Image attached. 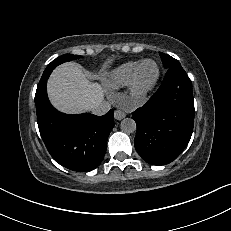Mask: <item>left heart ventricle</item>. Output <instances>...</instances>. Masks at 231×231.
<instances>
[{
  "label": "left heart ventricle",
  "instance_id": "obj_1",
  "mask_svg": "<svg viewBox=\"0 0 231 231\" xmlns=\"http://www.w3.org/2000/svg\"><path fill=\"white\" fill-rule=\"evenodd\" d=\"M156 72H157V69H156V66L149 62V63H146L140 73H139V76H138V84L140 87H145L147 86L156 76Z\"/></svg>",
  "mask_w": 231,
  "mask_h": 231
}]
</instances>
